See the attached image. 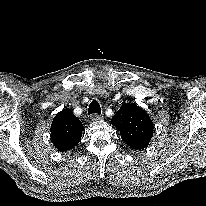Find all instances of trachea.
I'll list each match as a JSON object with an SVG mask.
<instances>
[{
	"label": "trachea",
	"mask_w": 206,
	"mask_h": 206,
	"mask_svg": "<svg viewBox=\"0 0 206 206\" xmlns=\"http://www.w3.org/2000/svg\"><path fill=\"white\" fill-rule=\"evenodd\" d=\"M101 113V107L100 104L98 103V101L93 100L88 108V114H100Z\"/></svg>",
	"instance_id": "trachea-1"
}]
</instances>
